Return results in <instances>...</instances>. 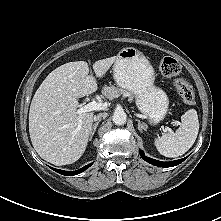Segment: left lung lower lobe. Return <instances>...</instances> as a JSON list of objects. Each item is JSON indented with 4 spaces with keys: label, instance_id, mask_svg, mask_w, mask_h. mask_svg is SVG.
Here are the masks:
<instances>
[{
    "label": "left lung lower lobe",
    "instance_id": "obj_1",
    "mask_svg": "<svg viewBox=\"0 0 221 221\" xmlns=\"http://www.w3.org/2000/svg\"><path fill=\"white\" fill-rule=\"evenodd\" d=\"M140 155L143 160H145L146 162H148L152 165L158 166V167H173V166H176V165L182 163L187 158V157H185L183 159H179V160L171 161V162H161V161L146 157L143 152H140Z\"/></svg>",
    "mask_w": 221,
    "mask_h": 221
}]
</instances>
